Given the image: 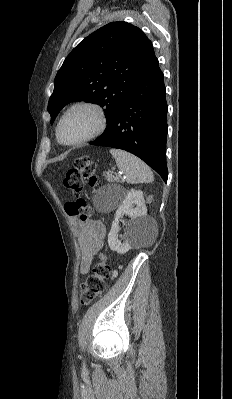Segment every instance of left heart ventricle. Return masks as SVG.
Returning a JSON list of instances; mask_svg holds the SVG:
<instances>
[{"label":"left heart ventricle","instance_id":"1","mask_svg":"<svg viewBox=\"0 0 232 399\" xmlns=\"http://www.w3.org/2000/svg\"><path fill=\"white\" fill-rule=\"evenodd\" d=\"M97 118L93 110L79 107L64 119L61 134L66 141H76L89 135L96 127Z\"/></svg>","mask_w":232,"mask_h":399}]
</instances>
